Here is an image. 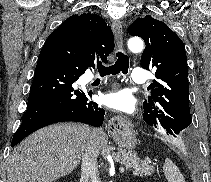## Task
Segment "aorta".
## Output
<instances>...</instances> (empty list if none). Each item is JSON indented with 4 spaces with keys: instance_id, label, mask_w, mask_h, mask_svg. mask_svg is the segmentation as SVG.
<instances>
[{
    "instance_id": "aorta-1",
    "label": "aorta",
    "mask_w": 211,
    "mask_h": 182,
    "mask_svg": "<svg viewBox=\"0 0 211 182\" xmlns=\"http://www.w3.org/2000/svg\"><path fill=\"white\" fill-rule=\"evenodd\" d=\"M128 48L135 53L141 52L144 48L142 39L138 37L130 38L128 41Z\"/></svg>"
}]
</instances>
